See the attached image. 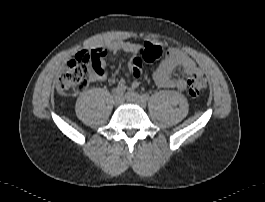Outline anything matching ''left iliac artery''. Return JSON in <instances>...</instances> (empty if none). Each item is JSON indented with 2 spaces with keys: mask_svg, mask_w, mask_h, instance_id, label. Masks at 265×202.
<instances>
[{
  "mask_svg": "<svg viewBox=\"0 0 265 202\" xmlns=\"http://www.w3.org/2000/svg\"><path fill=\"white\" fill-rule=\"evenodd\" d=\"M141 98L144 100V101H147L149 99V94L147 93H144L141 95Z\"/></svg>",
  "mask_w": 265,
  "mask_h": 202,
  "instance_id": "44dca946",
  "label": "left iliac artery"
}]
</instances>
